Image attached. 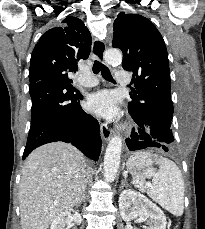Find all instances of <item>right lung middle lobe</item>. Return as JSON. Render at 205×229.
<instances>
[{
  "label": "right lung middle lobe",
  "instance_id": "obj_1",
  "mask_svg": "<svg viewBox=\"0 0 205 229\" xmlns=\"http://www.w3.org/2000/svg\"><path fill=\"white\" fill-rule=\"evenodd\" d=\"M53 79H56L57 81H59V82H61V83H64V84L67 85V86H71L72 80L69 79V77L66 76V75L54 76Z\"/></svg>",
  "mask_w": 205,
  "mask_h": 229
}]
</instances>
